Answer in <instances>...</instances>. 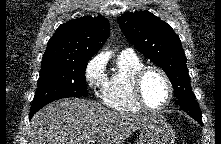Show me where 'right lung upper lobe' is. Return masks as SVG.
Masks as SVG:
<instances>
[{"mask_svg":"<svg viewBox=\"0 0 221 144\" xmlns=\"http://www.w3.org/2000/svg\"><path fill=\"white\" fill-rule=\"evenodd\" d=\"M110 33L105 17H83L61 24L48 41L42 60H89Z\"/></svg>","mask_w":221,"mask_h":144,"instance_id":"cb5924a9","label":"right lung upper lobe"}]
</instances>
